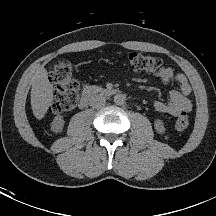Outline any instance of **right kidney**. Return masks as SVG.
I'll return each mask as SVG.
<instances>
[{
	"instance_id": "ca27d5eb",
	"label": "right kidney",
	"mask_w": 216,
	"mask_h": 216,
	"mask_svg": "<svg viewBox=\"0 0 216 216\" xmlns=\"http://www.w3.org/2000/svg\"><path fill=\"white\" fill-rule=\"evenodd\" d=\"M64 123L65 121L63 120V117L58 115L54 118L51 129L56 133L61 132L63 130Z\"/></svg>"
}]
</instances>
